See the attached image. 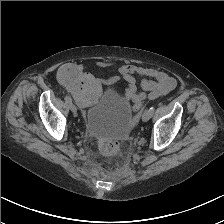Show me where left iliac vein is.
Segmentation results:
<instances>
[{"instance_id": "obj_1", "label": "left iliac vein", "mask_w": 224, "mask_h": 224, "mask_svg": "<svg viewBox=\"0 0 224 224\" xmlns=\"http://www.w3.org/2000/svg\"><path fill=\"white\" fill-rule=\"evenodd\" d=\"M151 113L149 110H146L142 115V121L147 122L151 118Z\"/></svg>"}]
</instances>
